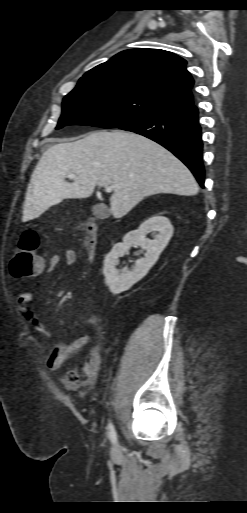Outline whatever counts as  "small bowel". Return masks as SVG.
I'll return each instance as SVG.
<instances>
[{"instance_id": "obj_1", "label": "small bowel", "mask_w": 247, "mask_h": 513, "mask_svg": "<svg viewBox=\"0 0 247 513\" xmlns=\"http://www.w3.org/2000/svg\"><path fill=\"white\" fill-rule=\"evenodd\" d=\"M64 264L74 266L77 263L78 256L74 250L66 249L63 252ZM60 264V256L53 254L47 265L42 263L40 273L46 271L52 273ZM32 293L29 289L23 290L17 301V308L22 317L32 326V328L44 339H51L52 330L40 319L31 309L30 302ZM91 321V317L86 319ZM84 348L88 349L85 359L74 368L69 369L63 375L64 386L70 389L85 387L95 378L101 364V347L90 337H81L72 341H62L55 343L45 358V366L51 371L60 370L70 356L79 354Z\"/></svg>"}]
</instances>
